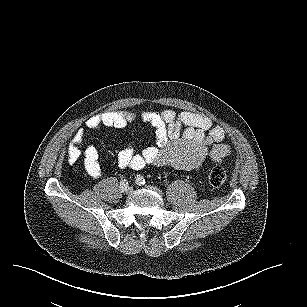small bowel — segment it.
<instances>
[{"label": "small bowel", "instance_id": "obj_1", "mask_svg": "<svg viewBox=\"0 0 307 307\" xmlns=\"http://www.w3.org/2000/svg\"><path fill=\"white\" fill-rule=\"evenodd\" d=\"M142 121L155 130L156 145L137 152L128 145L117 155L120 168L140 170L146 165L171 166L178 170H199L206 159L220 162L231 155V149L223 144L225 131L204 114L161 112L115 111L90 117L85 125L90 130L104 127L123 128L127 124ZM83 131L78 130L67 149L68 160L76 162L84 154L87 173L94 178L101 176L99 153L93 146L82 151Z\"/></svg>", "mask_w": 307, "mask_h": 307}]
</instances>
